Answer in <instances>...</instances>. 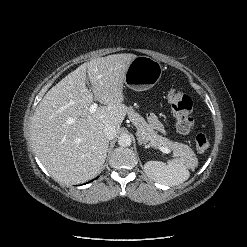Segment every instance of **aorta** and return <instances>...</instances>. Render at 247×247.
I'll list each match as a JSON object with an SVG mask.
<instances>
[{
	"label": "aorta",
	"mask_w": 247,
	"mask_h": 247,
	"mask_svg": "<svg viewBox=\"0 0 247 247\" xmlns=\"http://www.w3.org/2000/svg\"><path fill=\"white\" fill-rule=\"evenodd\" d=\"M132 143V138L128 134H121L118 138V144L122 147H128Z\"/></svg>",
	"instance_id": "1"
}]
</instances>
